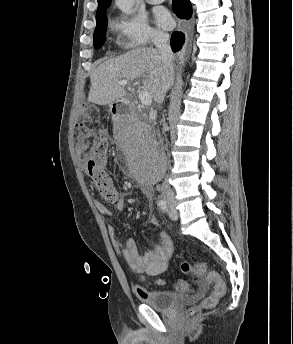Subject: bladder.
<instances>
[{
  "instance_id": "1",
  "label": "bladder",
  "mask_w": 293,
  "mask_h": 344,
  "mask_svg": "<svg viewBox=\"0 0 293 344\" xmlns=\"http://www.w3.org/2000/svg\"><path fill=\"white\" fill-rule=\"evenodd\" d=\"M186 299L184 294L174 291L146 290L142 301L150 307L166 311Z\"/></svg>"
}]
</instances>
